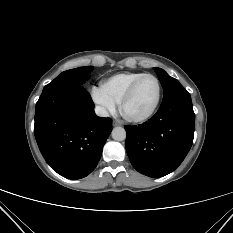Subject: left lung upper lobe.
Returning a JSON list of instances; mask_svg holds the SVG:
<instances>
[{"instance_id":"left-lung-upper-lobe-1","label":"left lung upper lobe","mask_w":233,"mask_h":233,"mask_svg":"<svg viewBox=\"0 0 233 233\" xmlns=\"http://www.w3.org/2000/svg\"><path fill=\"white\" fill-rule=\"evenodd\" d=\"M154 70L163 87V101L177 95L189 94L177 79L169 76L164 70L157 67Z\"/></svg>"}]
</instances>
